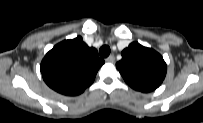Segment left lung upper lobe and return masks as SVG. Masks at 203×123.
Masks as SVG:
<instances>
[{
	"label": "left lung upper lobe",
	"instance_id": "left-lung-upper-lobe-1",
	"mask_svg": "<svg viewBox=\"0 0 203 123\" xmlns=\"http://www.w3.org/2000/svg\"><path fill=\"white\" fill-rule=\"evenodd\" d=\"M116 66L125 82L141 92H151L158 88L167 72L163 57L138 42H132L122 51V59Z\"/></svg>",
	"mask_w": 203,
	"mask_h": 123
}]
</instances>
